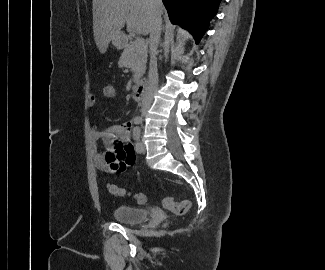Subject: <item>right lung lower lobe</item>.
Listing matches in <instances>:
<instances>
[{
    "label": "right lung lower lobe",
    "mask_w": 325,
    "mask_h": 270,
    "mask_svg": "<svg viewBox=\"0 0 325 270\" xmlns=\"http://www.w3.org/2000/svg\"><path fill=\"white\" fill-rule=\"evenodd\" d=\"M169 19L194 36L198 43L216 15L221 0H162Z\"/></svg>",
    "instance_id": "1"
}]
</instances>
